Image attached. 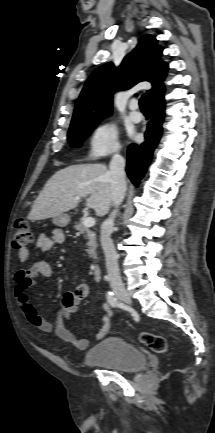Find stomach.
Here are the masks:
<instances>
[{
  "label": "stomach",
  "instance_id": "obj_1",
  "mask_svg": "<svg viewBox=\"0 0 215 433\" xmlns=\"http://www.w3.org/2000/svg\"><path fill=\"white\" fill-rule=\"evenodd\" d=\"M53 222L58 226H67L70 222V216L68 214L62 213L53 218Z\"/></svg>",
  "mask_w": 215,
  "mask_h": 433
}]
</instances>
